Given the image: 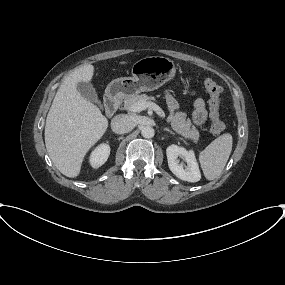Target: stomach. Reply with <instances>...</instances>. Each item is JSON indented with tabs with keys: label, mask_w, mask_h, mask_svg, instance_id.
Listing matches in <instances>:
<instances>
[{
	"label": "stomach",
	"mask_w": 285,
	"mask_h": 285,
	"mask_svg": "<svg viewBox=\"0 0 285 285\" xmlns=\"http://www.w3.org/2000/svg\"><path fill=\"white\" fill-rule=\"evenodd\" d=\"M131 72L132 77H121L111 81L106 93L118 98L153 91L174 78L176 66L169 58L149 56L135 62Z\"/></svg>",
	"instance_id": "1"
}]
</instances>
